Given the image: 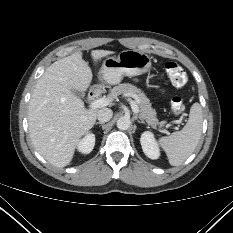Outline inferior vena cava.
Here are the masks:
<instances>
[{"label":"inferior vena cava","instance_id":"602c4592","mask_svg":"<svg viewBox=\"0 0 233 233\" xmlns=\"http://www.w3.org/2000/svg\"><path fill=\"white\" fill-rule=\"evenodd\" d=\"M112 116L113 112L109 108H102L97 113V119L103 123L108 122L112 118Z\"/></svg>","mask_w":233,"mask_h":233}]
</instances>
